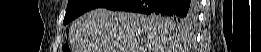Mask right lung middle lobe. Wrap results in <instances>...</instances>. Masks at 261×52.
<instances>
[{
    "mask_svg": "<svg viewBox=\"0 0 261 52\" xmlns=\"http://www.w3.org/2000/svg\"><path fill=\"white\" fill-rule=\"evenodd\" d=\"M110 0H69L67 5V11L64 18V24H67L71 20L75 19L76 17L80 16L84 12H87L91 9L102 7L103 5L107 4ZM161 16V15H159ZM195 15H192L190 18L180 19L176 16H161L163 20L178 24L184 22H191L193 21Z\"/></svg>",
    "mask_w": 261,
    "mask_h": 52,
    "instance_id": "1",
    "label": "right lung middle lobe"
}]
</instances>
